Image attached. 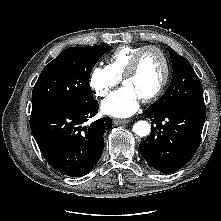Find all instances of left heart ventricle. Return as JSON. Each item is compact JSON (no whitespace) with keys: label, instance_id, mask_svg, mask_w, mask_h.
Instances as JSON below:
<instances>
[{"label":"left heart ventricle","instance_id":"b2bd125f","mask_svg":"<svg viewBox=\"0 0 221 221\" xmlns=\"http://www.w3.org/2000/svg\"><path fill=\"white\" fill-rule=\"evenodd\" d=\"M163 61L156 51L146 52L140 59L136 73L124 82L135 94L143 99L153 93L163 76Z\"/></svg>","mask_w":221,"mask_h":221}]
</instances>
